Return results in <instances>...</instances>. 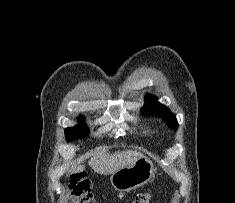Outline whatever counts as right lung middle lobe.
<instances>
[{
	"label": "right lung middle lobe",
	"mask_w": 235,
	"mask_h": 203,
	"mask_svg": "<svg viewBox=\"0 0 235 203\" xmlns=\"http://www.w3.org/2000/svg\"><path fill=\"white\" fill-rule=\"evenodd\" d=\"M88 134L89 130L83 125H77L65 130V137L68 142L74 139L85 138Z\"/></svg>",
	"instance_id": "1"
}]
</instances>
